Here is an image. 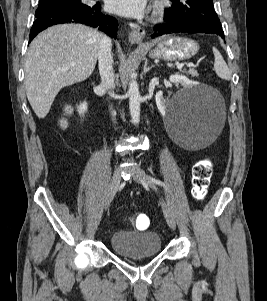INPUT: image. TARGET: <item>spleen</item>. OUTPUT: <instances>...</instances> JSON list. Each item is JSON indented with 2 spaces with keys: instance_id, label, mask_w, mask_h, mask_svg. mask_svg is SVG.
I'll return each instance as SVG.
<instances>
[{
  "instance_id": "obj_1",
  "label": "spleen",
  "mask_w": 267,
  "mask_h": 301,
  "mask_svg": "<svg viewBox=\"0 0 267 301\" xmlns=\"http://www.w3.org/2000/svg\"><path fill=\"white\" fill-rule=\"evenodd\" d=\"M213 54L215 57L214 61V69L216 74L221 78L225 80H229L231 78V73L229 71V68L224 61L221 53L216 49L215 47L213 48Z\"/></svg>"
}]
</instances>
